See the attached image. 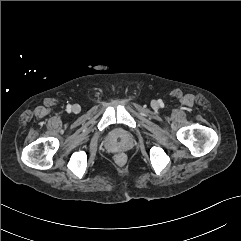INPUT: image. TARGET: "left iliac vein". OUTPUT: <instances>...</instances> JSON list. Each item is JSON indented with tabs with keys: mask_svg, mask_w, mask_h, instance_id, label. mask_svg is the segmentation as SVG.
Masks as SVG:
<instances>
[{
	"mask_svg": "<svg viewBox=\"0 0 241 241\" xmlns=\"http://www.w3.org/2000/svg\"><path fill=\"white\" fill-rule=\"evenodd\" d=\"M151 106L153 107V108H155V109H157L158 108V103H157V101H152L151 102Z\"/></svg>",
	"mask_w": 241,
	"mask_h": 241,
	"instance_id": "4c4485c4",
	"label": "left iliac vein"
}]
</instances>
